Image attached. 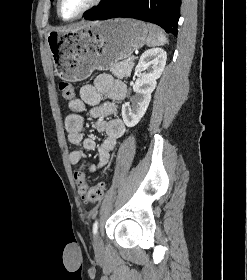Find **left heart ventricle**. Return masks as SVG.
Masks as SVG:
<instances>
[{
  "mask_svg": "<svg viewBox=\"0 0 247 280\" xmlns=\"http://www.w3.org/2000/svg\"><path fill=\"white\" fill-rule=\"evenodd\" d=\"M91 0H62L61 2V15L64 18H72L83 10Z\"/></svg>",
  "mask_w": 247,
  "mask_h": 280,
  "instance_id": "1",
  "label": "left heart ventricle"
}]
</instances>
